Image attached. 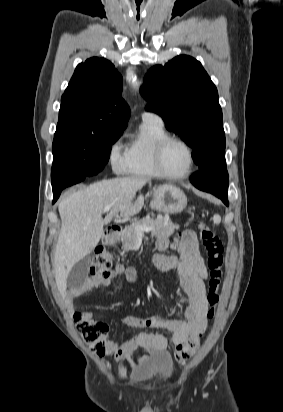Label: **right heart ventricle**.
Here are the masks:
<instances>
[{"label": "right heart ventricle", "mask_w": 283, "mask_h": 412, "mask_svg": "<svg viewBox=\"0 0 283 412\" xmlns=\"http://www.w3.org/2000/svg\"><path fill=\"white\" fill-rule=\"evenodd\" d=\"M168 135L163 124L143 121L139 133L128 143L123 171L137 176H158L154 164V150L162 138Z\"/></svg>", "instance_id": "1"}]
</instances>
